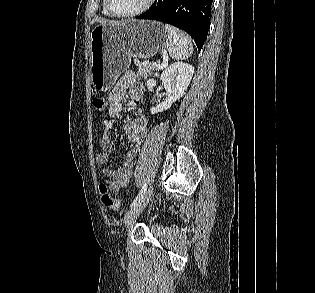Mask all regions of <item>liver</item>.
Segmentation results:
<instances>
[{
  "label": "liver",
  "mask_w": 315,
  "mask_h": 293,
  "mask_svg": "<svg viewBox=\"0 0 315 293\" xmlns=\"http://www.w3.org/2000/svg\"><path fill=\"white\" fill-rule=\"evenodd\" d=\"M94 22H100V23H102V24H107L106 21L99 20V19H94V20L92 21V23H94ZM118 23H120V22H110V24H118Z\"/></svg>",
  "instance_id": "liver-1"
}]
</instances>
